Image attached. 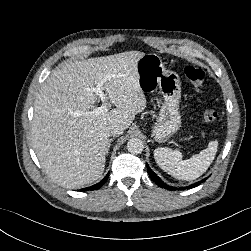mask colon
Wrapping results in <instances>:
<instances>
[{"instance_id":"colon-1","label":"colon","mask_w":251,"mask_h":251,"mask_svg":"<svg viewBox=\"0 0 251 251\" xmlns=\"http://www.w3.org/2000/svg\"><path fill=\"white\" fill-rule=\"evenodd\" d=\"M185 75L191 82V84L194 86V88L198 91L201 92L203 85H204V80H205V72L203 69L195 66H186L185 67ZM201 115L203 120L206 123H213L217 120L218 118V112L211 107H205L201 111Z\"/></svg>"}]
</instances>
